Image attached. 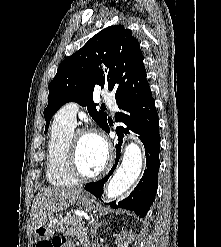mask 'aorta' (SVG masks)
<instances>
[{"mask_svg":"<svg viewBox=\"0 0 221 247\" xmlns=\"http://www.w3.org/2000/svg\"><path fill=\"white\" fill-rule=\"evenodd\" d=\"M142 166L141 148L137 143L131 141L125 147L121 165L108 182L107 199L113 200L126 192L138 179Z\"/></svg>","mask_w":221,"mask_h":247,"instance_id":"762f6f07","label":"aorta"}]
</instances>
